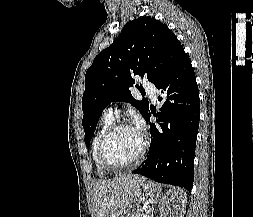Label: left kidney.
Listing matches in <instances>:
<instances>
[{
	"label": "left kidney",
	"mask_w": 253,
	"mask_h": 217,
	"mask_svg": "<svg viewBox=\"0 0 253 217\" xmlns=\"http://www.w3.org/2000/svg\"><path fill=\"white\" fill-rule=\"evenodd\" d=\"M186 201V194L182 190L167 191L159 205L160 217H182Z\"/></svg>",
	"instance_id": "1"
}]
</instances>
